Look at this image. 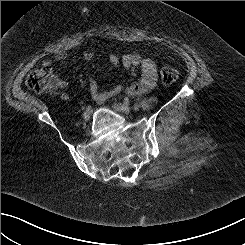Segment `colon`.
Here are the masks:
<instances>
[{
  "mask_svg": "<svg viewBox=\"0 0 245 245\" xmlns=\"http://www.w3.org/2000/svg\"><path fill=\"white\" fill-rule=\"evenodd\" d=\"M163 84L171 85L178 79V71L172 67H164L160 72ZM54 74L50 65L43 64L32 71L26 78L27 87L36 93L50 92L54 87Z\"/></svg>",
  "mask_w": 245,
  "mask_h": 245,
  "instance_id": "obj_1",
  "label": "colon"
}]
</instances>
